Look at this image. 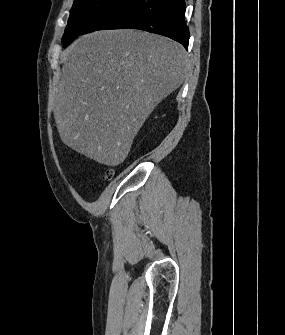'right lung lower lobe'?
I'll use <instances>...</instances> for the list:
<instances>
[{"mask_svg": "<svg viewBox=\"0 0 285 335\" xmlns=\"http://www.w3.org/2000/svg\"><path fill=\"white\" fill-rule=\"evenodd\" d=\"M184 0H117L84 30L140 29L169 37L186 49L189 29Z\"/></svg>", "mask_w": 285, "mask_h": 335, "instance_id": "1", "label": "right lung lower lobe"}]
</instances>
